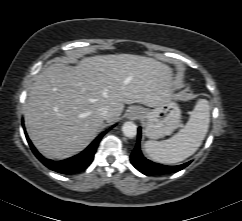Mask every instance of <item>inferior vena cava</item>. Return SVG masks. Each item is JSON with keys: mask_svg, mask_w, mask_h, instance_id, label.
<instances>
[{"mask_svg": "<svg viewBox=\"0 0 242 221\" xmlns=\"http://www.w3.org/2000/svg\"><path fill=\"white\" fill-rule=\"evenodd\" d=\"M99 114L102 116V118L104 120L108 119V117L110 116V112L109 109L106 107H102L99 109Z\"/></svg>", "mask_w": 242, "mask_h": 221, "instance_id": "1", "label": "inferior vena cava"}]
</instances>
